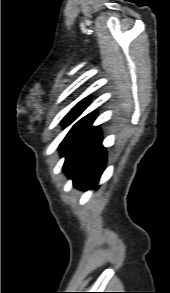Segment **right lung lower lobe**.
Here are the masks:
<instances>
[{
	"mask_svg": "<svg viewBox=\"0 0 170 293\" xmlns=\"http://www.w3.org/2000/svg\"><path fill=\"white\" fill-rule=\"evenodd\" d=\"M101 142L102 137L98 129L77 158L65 169V173L79 189L94 188L104 170L106 152Z\"/></svg>",
	"mask_w": 170,
	"mask_h": 293,
	"instance_id": "98d812e1",
	"label": "right lung lower lobe"
}]
</instances>
